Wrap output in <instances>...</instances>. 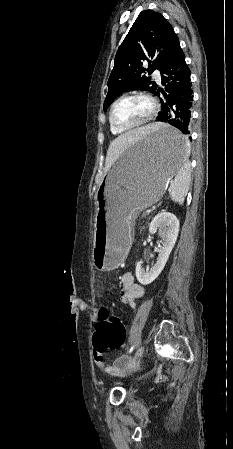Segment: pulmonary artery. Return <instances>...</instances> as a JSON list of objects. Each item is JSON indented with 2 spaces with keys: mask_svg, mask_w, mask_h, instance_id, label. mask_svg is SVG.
<instances>
[{
  "mask_svg": "<svg viewBox=\"0 0 233 449\" xmlns=\"http://www.w3.org/2000/svg\"><path fill=\"white\" fill-rule=\"evenodd\" d=\"M153 77L156 79L157 82L161 81V76H160V72L159 71H155L153 73Z\"/></svg>",
  "mask_w": 233,
  "mask_h": 449,
  "instance_id": "e3ab8cb5",
  "label": "pulmonary artery"
}]
</instances>
